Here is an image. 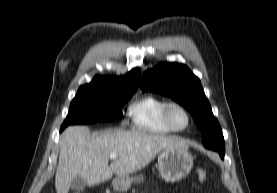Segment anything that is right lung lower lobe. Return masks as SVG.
Segmentation results:
<instances>
[{
  "label": "right lung lower lobe",
  "mask_w": 277,
  "mask_h": 193,
  "mask_svg": "<svg viewBox=\"0 0 277 193\" xmlns=\"http://www.w3.org/2000/svg\"><path fill=\"white\" fill-rule=\"evenodd\" d=\"M64 128L63 127H61V129H60V131H62Z\"/></svg>",
  "instance_id": "obj_1"
}]
</instances>
